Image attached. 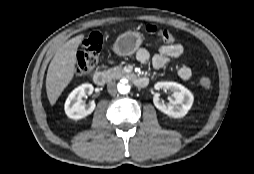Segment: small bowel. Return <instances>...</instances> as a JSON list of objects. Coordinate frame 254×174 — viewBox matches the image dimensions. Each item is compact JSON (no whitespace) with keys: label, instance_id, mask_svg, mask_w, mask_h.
Returning <instances> with one entry per match:
<instances>
[{"label":"small bowel","instance_id":"small-bowel-1","mask_svg":"<svg viewBox=\"0 0 254 174\" xmlns=\"http://www.w3.org/2000/svg\"><path fill=\"white\" fill-rule=\"evenodd\" d=\"M183 51V46L179 43L162 44L158 47L157 53L152 57L146 49H138L136 51V59L142 64L151 63L154 69H160L171 60L180 57ZM177 73L183 80H189L192 76L191 69L185 65L179 66Z\"/></svg>","mask_w":254,"mask_h":174}]
</instances>
